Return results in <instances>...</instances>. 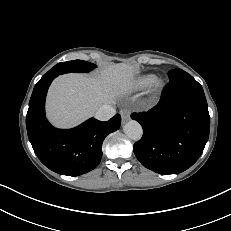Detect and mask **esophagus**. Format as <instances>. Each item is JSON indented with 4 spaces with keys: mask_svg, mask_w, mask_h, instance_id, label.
<instances>
[{
    "mask_svg": "<svg viewBox=\"0 0 231 231\" xmlns=\"http://www.w3.org/2000/svg\"><path fill=\"white\" fill-rule=\"evenodd\" d=\"M120 115L122 117V121L123 122H127L128 120H130V111L127 109H122L120 111Z\"/></svg>",
    "mask_w": 231,
    "mask_h": 231,
    "instance_id": "obj_1",
    "label": "esophagus"
}]
</instances>
